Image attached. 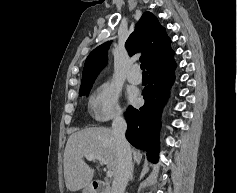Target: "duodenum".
I'll list each match as a JSON object with an SVG mask.
<instances>
[{
	"label": "duodenum",
	"mask_w": 237,
	"mask_h": 193,
	"mask_svg": "<svg viewBox=\"0 0 237 193\" xmlns=\"http://www.w3.org/2000/svg\"><path fill=\"white\" fill-rule=\"evenodd\" d=\"M92 193H110L109 185L101 180L94 181L91 185Z\"/></svg>",
	"instance_id": "410a0bca"
}]
</instances>
